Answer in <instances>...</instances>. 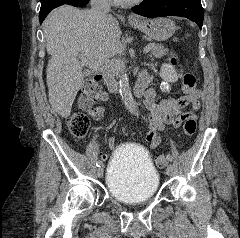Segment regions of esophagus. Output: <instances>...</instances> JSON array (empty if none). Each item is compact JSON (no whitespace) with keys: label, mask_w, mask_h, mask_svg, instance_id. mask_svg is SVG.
I'll use <instances>...</instances> for the list:
<instances>
[{"label":"esophagus","mask_w":240,"mask_h":238,"mask_svg":"<svg viewBox=\"0 0 240 238\" xmlns=\"http://www.w3.org/2000/svg\"><path fill=\"white\" fill-rule=\"evenodd\" d=\"M129 19H135V17L132 15H129Z\"/></svg>","instance_id":"1"}]
</instances>
